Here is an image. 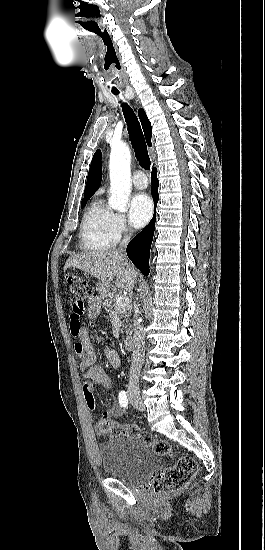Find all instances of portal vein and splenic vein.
Returning a JSON list of instances; mask_svg holds the SVG:
<instances>
[{"mask_svg": "<svg viewBox=\"0 0 265 550\" xmlns=\"http://www.w3.org/2000/svg\"><path fill=\"white\" fill-rule=\"evenodd\" d=\"M129 303V298L127 296H119L117 299H116V302L115 304L117 306H125Z\"/></svg>", "mask_w": 265, "mask_h": 550, "instance_id": "1", "label": "portal vein and splenic vein"}]
</instances>
